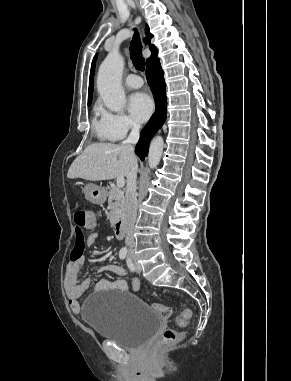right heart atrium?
<instances>
[{
	"instance_id": "1",
	"label": "right heart atrium",
	"mask_w": 291,
	"mask_h": 381,
	"mask_svg": "<svg viewBox=\"0 0 291 381\" xmlns=\"http://www.w3.org/2000/svg\"><path fill=\"white\" fill-rule=\"evenodd\" d=\"M101 119L107 132L115 140L123 139L130 132L138 129V124L125 113H114L103 110Z\"/></svg>"
}]
</instances>
